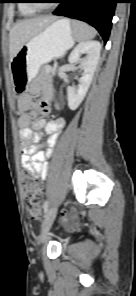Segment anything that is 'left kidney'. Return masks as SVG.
Masks as SVG:
<instances>
[{
    "label": "left kidney",
    "mask_w": 136,
    "mask_h": 296,
    "mask_svg": "<svg viewBox=\"0 0 136 296\" xmlns=\"http://www.w3.org/2000/svg\"><path fill=\"white\" fill-rule=\"evenodd\" d=\"M101 48L99 41H82L69 55V63L74 64L79 61L82 54H86V60L81 66L83 75L79 79L78 87L67 88L68 106L71 110H76L79 107L89 89L100 58Z\"/></svg>",
    "instance_id": "1"
}]
</instances>
